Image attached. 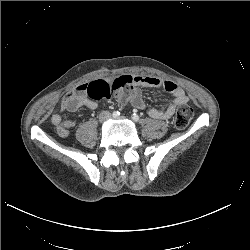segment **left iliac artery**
<instances>
[{
  "label": "left iliac artery",
  "mask_w": 250,
  "mask_h": 250,
  "mask_svg": "<svg viewBox=\"0 0 250 250\" xmlns=\"http://www.w3.org/2000/svg\"><path fill=\"white\" fill-rule=\"evenodd\" d=\"M131 118H132V120L135 121V122L139 121V116H138L137 114H135V113L132 114Z\"/></svg>",
  "instance_id": "44dca946"
}]
</instances>
